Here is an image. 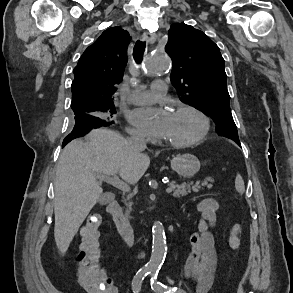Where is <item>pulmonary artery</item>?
<instances>
[{
	"label": "pulmonary artery",
	"instance_id": "obj_1",
	"mask_svg": "<svg viewBox=\"0 0 293 293\" xmlns=\"http://www.w3.org/2000/svg\"><path fill=\"white\" fill-rule=\"evenodd\" d=\"M166 90L167 84L164 81H155L151 85V90H133L129 96V102L133 104H150L164 97Z\"/></svg>",
	"mask_w": 293,
	"mask_h": 293
}]
</instances>
